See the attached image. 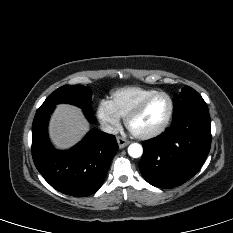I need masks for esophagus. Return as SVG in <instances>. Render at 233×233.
<instances>
[{"mask_svg":"<svg viewBox=\"0 0 233 233\" xmlns=\"http://www.w3.org/2000/svg\"><path fill=\"white\" fill-rule=\"evenodd\" d=\"M117 143H118L119 148L122 149V148L126 147L130 143V141L126 140L125 138H123L121 136H118Z\"/></svg>","mask_w":233,"mask_h":233,"instance_id":"obj_1","label":"esophagus"}]
</instances>
